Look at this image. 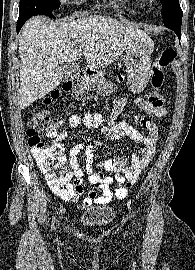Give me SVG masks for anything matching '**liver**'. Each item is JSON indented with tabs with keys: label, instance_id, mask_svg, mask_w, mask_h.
Listing matches in <instances>:
<instances>
[{
	"label": "liver",
	"instance_id": "liver-1",
	"mask_svg": "<svg viewBox=\"0 0 195 270\" xmlns=\"http://www.w3.org/2000/svg\"><path fill=\"white\" fill-rule=\"evenodd\" d=\"M145 31L116 19L94 15L59 25L37 16L25 23L19 35V106L25 109L53 91L62 81L61 63L81 55L91 70L113 63Z\"/></svg>",
	"mask_w": 195,
	"mask_h": 270
}]
</instances>
